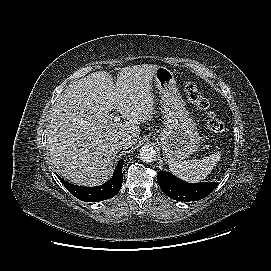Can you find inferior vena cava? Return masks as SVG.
Returning <instances> with one entry per match:
<instances>
[{
	"label": "inferior vena cava",
	"instance_id": "602c4592",
	"mask_svg": "<svg viewBox=\"0 0 271 271\" xmlns=\"http://www.w3.org/2000/svg\"><path fill=\"white\" fill-rule=\"evenodd\" d=\"M132 144L133 143H132L130 136H122V137L116 139V145L120 149L128 148V147L132 146Z\"/></svg>",
	"mask_w": 271,
	"mask_h": 271
}]
</instances>
